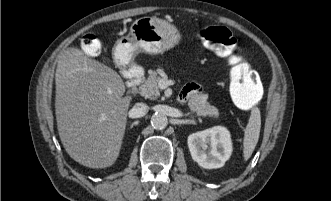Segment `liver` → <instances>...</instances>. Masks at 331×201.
Wrapping results in <instances>:
<instances>
[{"instance_id":"1","label":"liver","mask_w":331,"mask_h":201,"mask_svg":"<svg viewBox=\"0 0 331 201\" xmlns=\"http://www.w3.org/2000/svg\"><path fill=\"white\" fill-rule=\"evenodd\" d=\"M59 137L69 156L89 168L117 160L131 96L120 75L76 48L63 52L55 74Z\"/></svg>"}]
</instances>
